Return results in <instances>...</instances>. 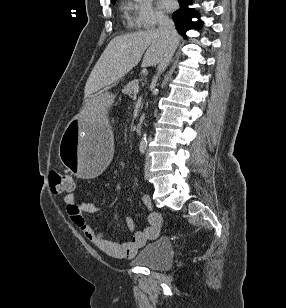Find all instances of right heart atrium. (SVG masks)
<instances>
[{
	"mask_svg": "<svg viewBox=\"0 0 286 308\" xmlns=\"http://www.w3.org/2000/svg\"><path fill=\"white\" fill-rule=\"evenodd\" d=\"M127 11L131 23L139 29H151L164 22L166 15L157 9L153 0H128Z\"/></svg>",
	"mask_w": 286,
	"mask_h": 308,
	"instance_id": "right-heart-atrium-1",
	"label": "right heart atrium"
}]
</instances>
